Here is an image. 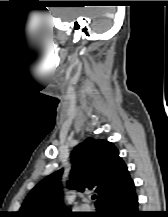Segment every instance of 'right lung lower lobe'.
Masks as SVG:
<instances>
[{
  "label": "right lung lower lobe",
  "instance_id": "1",
  "mask_svg": "<svg viewBox=\"0 0 168 217\" xmlns=\"http://www.w3.org/2000/svg\"><path fill=\"white\" fill-rule=\"evenodd\" d=\"M138 210V197L135 193V187L127 193L114 198L100 208V212L93 217H143Z\"/></svg>",
  "mask_w": 168,
  "mask_h": 217
}]
</instances>
